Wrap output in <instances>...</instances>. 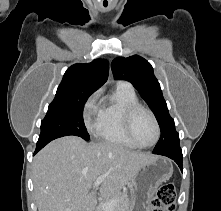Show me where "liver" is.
<instances>
[{
  "label": "liver",
  "instance_id": "obj_1",
  "mask_svg": "<svg viewBox=\"0 0 221 211\" xmlns=\"http://www.w3.org/2000/svg\"><path fill=\"white\" fill-rule=\"evenodd\" d=\"M153 158L112 143H87L76 136L56 139L33 160L38 211H94L93 185L99 176H105L100 194L107 197L120 191L138 167Z\"/></svg>",
  "mask_w": 221,
  "mask_h": 211
}]
</instances>
